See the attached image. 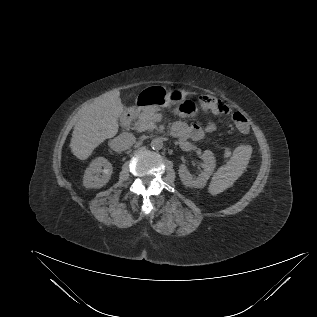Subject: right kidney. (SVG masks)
<instances>
[{
  "mask_svg": "<svg viewBox=\"0 0 317 317\" xmlns=\"http://www.w3.org/2000/svg\"><path fill=\"white\" fill-rule=\"evenodd\" d=\"M111 174V163L103 157H98L86 169L83 185L86 188H101L109 181Z\"/></svg>",
  "mask_w": 317,
  "mask_h": 317,
  "instance_id": "ca27d5eb",
  "label": "right kidney"
}]
</instances>
